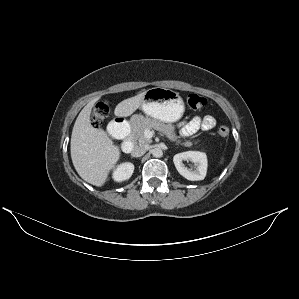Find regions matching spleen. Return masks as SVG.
I'll return each mask as SVG.
<instances>
[{"instance_id":"obj_1","label":"spleen","mask_w":299,"mask_h":299,"mask_svg":"<svg viewBox=\"0 0 299 299\" xmlns=\"http://www.w3.org/2000/svg\"><path fill=\"white\" fill-rule=\"evenodd\" d=\"M224 163V157L221 158L220 164L222 165Z\"/></svg>"}]
</instances>
